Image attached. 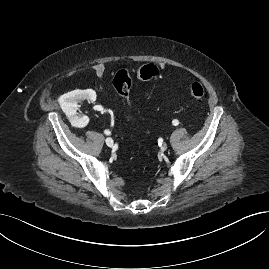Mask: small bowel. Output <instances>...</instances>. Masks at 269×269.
<instances>
[{"instance_id": "c3829d8e", "label": "small bowel", "mask_w": 269, "mask_h": 269, "mask_svg": "<svg viewBox=\"0 0 269 269\" xmlns=\"http://www.w3.org/2000/svg\"><path fill=\"white\" fill-rule=\"evenodd\" d=\"M157 66L160 68L162 71V78L164 77V74L166 72V66L164 63H158ZM93 71L98 77H103L105 74V67L102 64H95L93 65ZM139 70L136 72V75L138 76Z\"/></svg>"}]
</instances>
